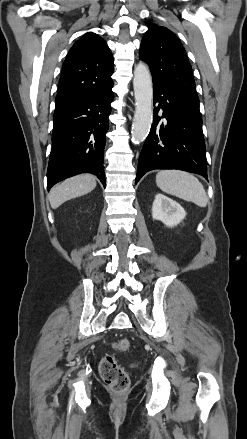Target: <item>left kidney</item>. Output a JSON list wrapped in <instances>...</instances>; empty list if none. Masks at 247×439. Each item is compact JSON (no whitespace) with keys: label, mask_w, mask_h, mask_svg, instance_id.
Listing matches in <instances>:
<instances>
[{"label":"left kidney","mask_w":247,"mask_h":439,"mask_svg":"<svg viewBox=\"0 0 247 439\" xmlns=\"http://www.w3.org/2000/svg\"><path fill=\"white\" fill-rule=\"evenodd\" d=\"M185 216L186 212L179 203L163 194L158 193L155 195V200L152 205L153 219L160 220L167 227H174L179 224Z\"/></svg>","instance_id":"5707ae66"}]
</instances>
